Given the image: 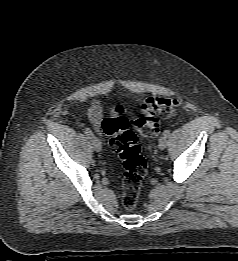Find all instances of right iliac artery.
<instances>
[{
    "mask_svg": "<svg viewBox=\"0 0 238 261\" xmlns=\"http://www.w3.org/2000/svg\"><path fill=\"white\" fill-rule=\"evenodd\" d=\"M84 133H85L89 138H91V137L93 136V133H92V131H91L89 128H85Z\"/></svg>",
    "mask_w": 238,
    "mask_h": 261,
    "instance_id": "right-iliac-artery-1",
    "label": "right iliac artery"
}]
</instances>
